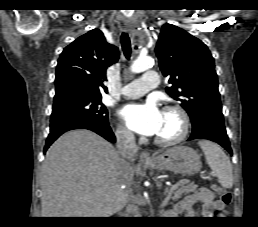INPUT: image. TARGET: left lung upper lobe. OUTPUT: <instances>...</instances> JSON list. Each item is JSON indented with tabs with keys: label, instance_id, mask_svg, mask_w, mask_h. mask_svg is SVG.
I'll use <instances>...</instances> for the list:
<instances>
[{
	"label": "left lung upper lobe",
	"instance_id": "obj_1",
	"mask_svg": "<svg viewBox=\"0 0 258 227\" xmlns=\"http://www.w3.org/2000/svg\"><path fill=\"white\" fill-rule=\"evenodd\" d=\"M155 52L163 75L172 84L166 92L181 102L193 128L206 117H223L214 58L202 41L164 24Z\"/></svg>",
	"mask_w": 258,
	"mask_h": 227
}]
</instances>
